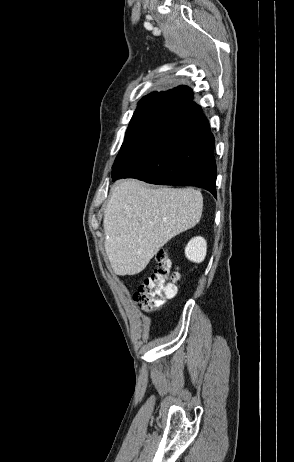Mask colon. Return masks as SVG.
I'll use <instances>...</instances> for the list:
<instances>
[{"mask_svg":"<svg viewBox=\"0 0 294 462\" xmlns=\"http://www.w3.org/2000/svg\"><path fill=\"white\" fill-rule=\"evenodd\" d=\"M157 266L151 276L147 277L133 295L135 304L146 312H151L163 305L167 299L175 297L180 274L172 271V265L165 252L156 256Z\"/></svg>","mask_w":294,"mask_h":462,"instance_id":"5ec220e1","label":"colon"}]
</instances>
